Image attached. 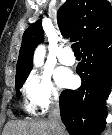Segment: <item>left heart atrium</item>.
Listing matches in <instances>:
<instances>
[{"label":"left heart atrium","mask_w":112,"mask_h":135,"mask_svg":"<svg viewBox=\"0 0 112 135\" xmlns=\"http://www.w3.org/2000/svg\"><path fill=\"white\" fill-rule=\"evenodd\" d=\"M55 80L60 87H70L75 82L73 74L64 68H59L55 72Z\"/></svg>","instance_id":"39dd6f15"}]
</instances>
